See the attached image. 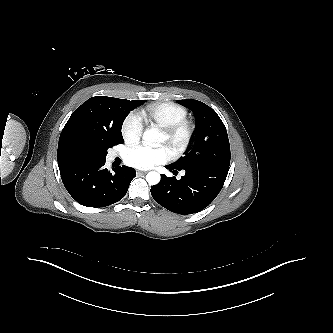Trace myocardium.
Here are the masks:
<instances>
[{
    "label": "myocardium",
    "mask_w": 333,
    "mask_h": 333,
    "mask_svg": "<svg viewBox=\"0 0 333 333\" xmlns=\"http://www.w3.org/2000/svg\"><path fill=\"white\" fill-rule=\"evenodd\" d=\"M162 133L171 155L177 157L188 148L193 137L194 124L188 119H183L162 128Z\"/></svg>",
    "instance_id": "f54148a6"
}]
</instances>
